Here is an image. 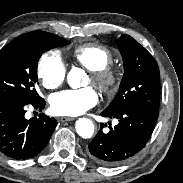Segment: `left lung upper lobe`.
Listing matches in <instances>:
<instances>
[{
	"label": "left lung upper lobe",
	"instance_id": "obj_1",
	"mask_svg": "<svg viewBox=\"0 0 183 183\" xmlns=\"http://www.w3.org/2000/svg\"><path fill=\"white\" fill-rule=\"evenodd\" d=\"M116 44L123 57L124 75L118 93L104 111L114 113L129 106L158 109L160 73L157 62L131 36L123 34Z\"/></svg>",
	"mask_w": 183,
	"mask_h": 183
}]
</instances>
